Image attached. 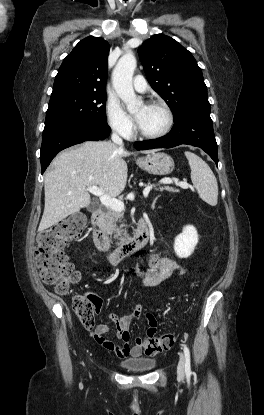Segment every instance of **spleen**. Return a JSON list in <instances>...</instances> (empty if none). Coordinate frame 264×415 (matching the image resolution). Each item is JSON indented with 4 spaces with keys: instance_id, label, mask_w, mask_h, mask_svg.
Segmentation results:
<instances>
[{
    "instance_id": "1",
    "label": "spleen",
    "mask_w": 264,
    "mask_h": 415,
    "mask_svg": "<svg viewBox=\"0 0 264 415\" xmlns=\"http://www.w3.org/2000/svg\"><path fill=\"white\" fill-rule=\"evenodd\" d=\"M191 168V180L200 198L211 206L217 205L218 184L216 177L208 164L196 154L186 151Z\"/></svg>"
}]
</instances>
